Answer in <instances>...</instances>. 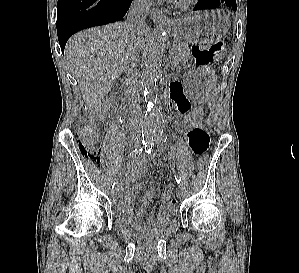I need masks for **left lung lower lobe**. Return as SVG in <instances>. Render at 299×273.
<instances>
[{
  "mask_svg": "<svg viewBox=\"0 0 299 273\" xmlns=\"http://www.w3.org/2000/svg\"><path fill=\"white\" fill-rule=\"evenodd\" d=\"M228 6L236 10V0H200L193 10L215 9Z\"/></svg>",
  "mask_w": 299,
  "mask_h": 273,
  "instance_id": "left-lung-lower-lobe-1",
  "label": "left lung lower lobe"
}]
</instances>
